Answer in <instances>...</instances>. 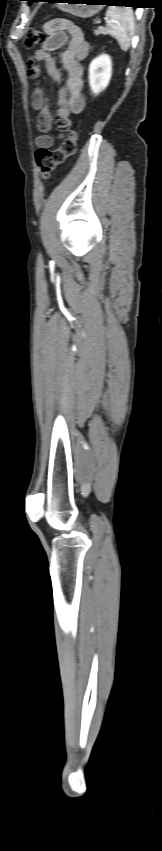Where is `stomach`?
<instances>
[{
    "mask_svg": "<svg viewBox=\"0 0 162 851\" xmlns=\"http://www.w3.org/2000/svg\"><path fill=\"white\" fill-rule=\"evenodd\" d=\"M57 7L60 10L71 13L81 18H87L95 15L102 9V0H57ZM62 2V3H59Z\"/></svg>",
    "mask_w": 162,
    "mask_h": 851,
    "instance_id": "1",
    "label": "stomach"
}]
</instances>
